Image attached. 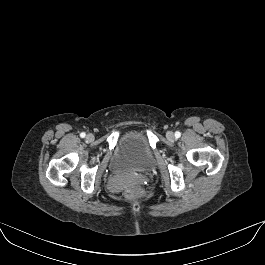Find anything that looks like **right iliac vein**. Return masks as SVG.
<instances>
[{"label": "right iliac vein", "mask_w": 265, "mask_h": 265, "mask_svg": "<svg viewBox=\"0 0 265 265\" xmlns=\"http://www.w3.org/2000/svg\"><path fill=\"white\" fill-rule=\"evenodd\" d=\"M94 135L92 134V133H89V134H87V136H86V140L88 141V142H92L93 140H94Z\"/></svg>", "instance_id": "63e3f726"}]
</instances>
